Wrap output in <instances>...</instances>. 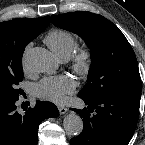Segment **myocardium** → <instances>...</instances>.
<instances>
[{"instance_id": "f54148a6", "label": "myocardium", "mask_w": 145, "mask_h": 145, "mask_svg": "<svg viewBox=\"0 0 145 145\" xmlns=\"http://www.w3.org/2000/svg\"><path fill=\"white\" fill-rule=\"evenodd\" d=\"M72 68L81 75H85L89 72L92 66V54L86 47H80L75 49L72 56Z\"/></svg>"}]
</instances>
